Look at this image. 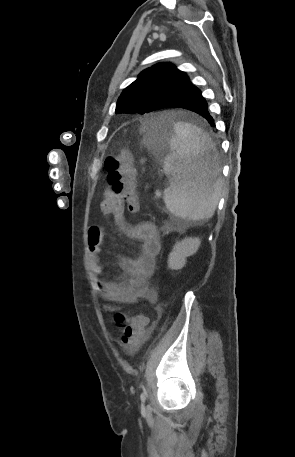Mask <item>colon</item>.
Returning a JSON list of instances; mask_svg holds the SVG:
<instances>
[{
    "instance_id": "obj_1",
    "label": "colon",
    "mask_w": 295,
    "mask_h": 457,
    "mask_svg": "<svg viewBox=\"0 0 295 457\" xmlns=\"http://www.w3.org/2000/svg\"><path fill=\"white\" fill-rule=\"evenodd\" d=\"M105 169L111 190L131 212H137L139 202L135 184L136 172L130 152L123 150L109 156L105 161ZM114 320L123 327L122 345L134 348L143 341L147 327L145 316L137 315L128 320L123 313L117 312Z\"/></svg>"
}]
</instances>
